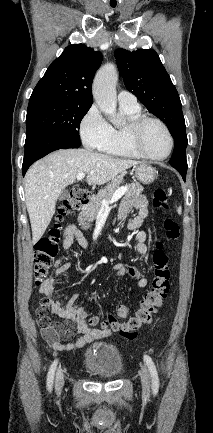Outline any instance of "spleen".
<instances>
[{
  "mask_svg": "<svg viewBox=\"0 0 213 433\" xmlns=\"http://www.w3.org/2000/svg\"><path fill=\"white\" fill-rule=\"evenodd\" d=\"M177 211H178V214H181V212H182L181 206L178 207Z\"/></svg>",
  "mask_w": 213,
  "mask_h": 433,
  "instance_id": "1",
  "label": "spleen"
}]
</instances>
